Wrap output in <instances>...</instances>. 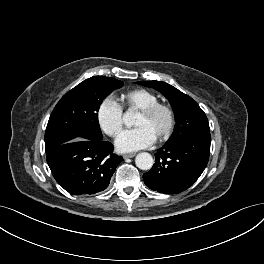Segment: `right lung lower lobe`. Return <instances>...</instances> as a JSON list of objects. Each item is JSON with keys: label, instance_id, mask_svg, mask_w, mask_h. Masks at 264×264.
I'll use <instances>...</instances> for the list:
<instances>
[{"label": "right lung lower lobe", "instance_id": "98d812e1", "mask_svg": "<svg viewBox=\"0 0 264 264\" xmlns=\"http://www.w3.org/2000/svg\"><path fill=\"white\" fill-rule=\"evenodd\" d=\"M104 140L65 142L47 153V163L55 180L73 195H89L107 188L121 156Z\"/></svg>", "mask_w": 264, "mask_h": 264}]
</instances>
